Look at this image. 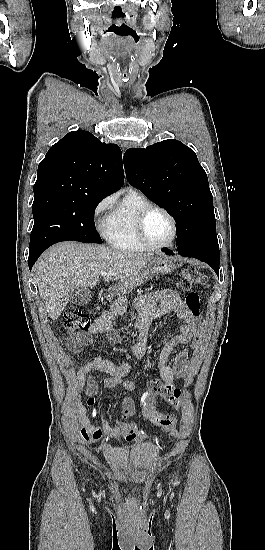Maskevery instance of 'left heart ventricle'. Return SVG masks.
Here are the masks:
<instances>
[{
    "label": "left heart ventricle",
    "instance_id": "left-heart-ventricle-1",
    "mask_svg": "<svg viewBox=\"0 0 265 550\" xmlns=\"http://www.w3.org/2000/svg\"><path fill=\"white\" fill-rule=\"evenodd\" d=\"M146 234L153 244H164L172 236L170 219L160 211H153L146 220Z\"/></svg>",
    "mask_w": 265,
    "mask_h": 550
}]
</instances>
